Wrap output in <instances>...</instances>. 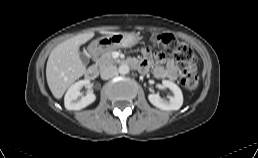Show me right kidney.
<instances>
[{"label": "right kidney", "instance_id": "1", "mask_svg": "<svg viewBox=\"0 0 258 158\" xmlns=\"http://www.w3.org/2000/svg\"><path fill=\"white\" fill-rule=\"evenodd\" d=\"M83 87L88 89L86 95L82 96L80 92ZM96 100V96L91 90L89 80H80L73 84L66 92L64 105L67 110H80Z\"/></svg>", "mask_w": 258, "mask_h": 158}]
</instances>
